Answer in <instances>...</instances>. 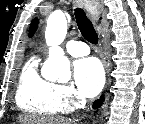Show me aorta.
Here are the masks:
<instances>
[{
	"label": "aorta",
	"mask_w": 145,
	"mask_h": 124,
	"mask_svg": "<svg viewBox=\"0 0 145 124\" xmlns=\"http://www.w3.org/2000/svg\"><path fill=\"white\" fill-rule=\"evenodd\" d=\"M66 34L67 18L65 14H52L48 18L45 31V40L50 46L49 55L41 70V74L46 80L65 83L71 78L70 62L60 47Z\"/></svg>",
	"instance_id": "1"
}]
</instances>
